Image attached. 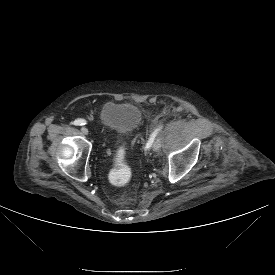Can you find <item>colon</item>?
I'll list each match as a JSON object with an SVG mask.
<instances>
[{
    "label": "colon",
    "mask_w": 275,
    "mask_h": 275,
    "mask_svg": "<svg viewBox=\"0 0 275 275\" xmlns=\"http://www.w3.org/2000/svg\"><path fill=\"white\" fill-rule=\"evenodd\" d=\"M131 169L125 163L115 164L110 172L109 179L114 185H123L131 178Z\"/></svg>",
    "instance_id": "colon-1"
}]
</instances>
